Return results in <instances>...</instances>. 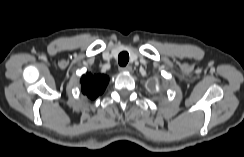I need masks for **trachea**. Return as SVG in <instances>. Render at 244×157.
I'll list each match as a JSON object with an SVG mask.
<instances>
[{
    "label": "trachea",
    "mask_w": 244,
    "mask_h": 157,
    "mask_svg": "<svg viewBox=\"0 0 244 157\" xmlns=\"http://www.w3.org/2000/svg\"><path fill=\"white\" fill-rule=\"evenodd\" d=\"M129 61V54L126 51H123L118 56V63L120 66H126Z\"/></svg>",
    "instance_id": "obj_1"
}]
</instances>
